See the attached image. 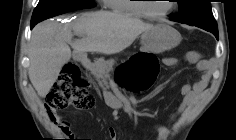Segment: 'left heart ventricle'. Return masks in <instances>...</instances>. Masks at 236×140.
<instances>
[{"label": "left heart ventricle", "mask_w": 236, "mask_h": 140, "mask_svg": "<svg viewBox=\"0 0 236 140\" xmlns=\"http://www.w3.org/2000/svg\"><path fill=\"white\" fill-rule=\"evenodd\" d=\"M147 4L148 9L153 13H162L170 8V3L164 0H150Z\"/></svg>", "instance_id": "b2bd125f"}]
</instances>
